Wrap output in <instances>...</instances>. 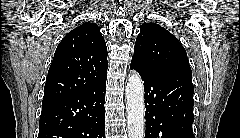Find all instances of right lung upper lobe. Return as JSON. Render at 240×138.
<instances>
[{"mask_svg":"<svg viewBox=\"0 0 240 138\" xmlns=\"http://www.w3.org/2000/svg\"><path fill=\"white\" fill-rule=\"evenodd\" d=\"M107 78V47L95 23H83L59 43L42 104L87 92Z\"/></svg>","mask_w":240,"mask_h":138,"instance_id":"1","label":"right lung upper lobe"}]
</instances>
